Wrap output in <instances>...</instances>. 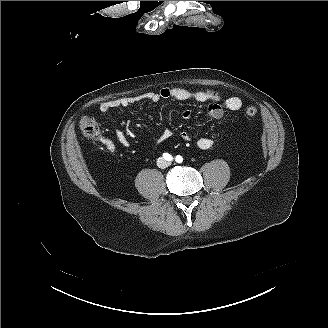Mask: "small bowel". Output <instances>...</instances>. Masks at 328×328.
<instances>
[{
	"instance_id": "c3829d8e",
	"label": "small bowel",
	"mask_w": 328,
	"mask_h": 328,
	"mask_svg": "<svg viewBox=\"0 0 328 328\" xmlns=\"http://www.w3.org/2000/svg\"><path fill=\"white\" fill-rule=\"evenodd\" d=\"M162 99H174L178 101L194 100L197 102H209L210 106L208 108V114L213 119H221L224 115L225 109L229 111H238L242 107V100L239 97L232 96L224 98V96L217 91L209 89H199V90H189L181 87H163L158 91H149L136 96H127L117 99H112L100 103L99 110L102 113H106L109 110L117 108H126L133 104L148 101V102H158ZM192 116V111L190 109H185L181 113V118L183 120H188ZM173 135L172 131L168 128L162 130L158 138L155 140L154 144L160 145L165 142ZM182 140L188 142L191 141L192 136L188 131L181 132ZM116 138L118 142L128 147L130 141L126 134L121 131H116ZM101 143L111 154L116 152V146L114 142L106 137L100 138ZM213 145V140L210 137H200L197 140V146L202 150H207Z\"/></svg>"
}]
</instances>
